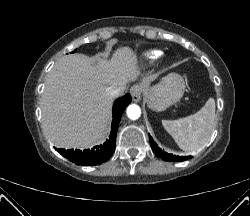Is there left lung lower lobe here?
I'll return each instance as SVG.
<instances>
[{"label":"left lung lower lobe","mask_w":250,"mask_h":216,"mask_svg":"<svg viewBox=\"0 0 250 216\" xmlns=\"http://www.w3.org/2000/svg\"><path fill=\"white\" fill-rule=\"evenodd\" d=\"M149 141H150L151 148L153 152L156 154V156L161 157L165 161L179 162V161L192 158V156H176V155H172V154H168L167 152H164L158 147V145L155 143V141L150 135H149Z\"/></svg>","instance_id":"left-lung-lower-lobe-1"}]
</instances>
